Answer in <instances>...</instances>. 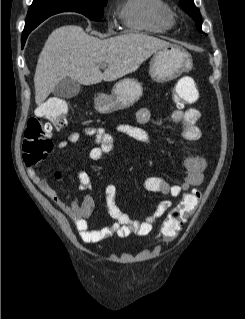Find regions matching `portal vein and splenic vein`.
Masks as SVG:
<instances>
[{
    "label": "portal vein and splenic vein",
    "mask_w": 245,
    "mask_h": 319,
    "mask_svg": "<svg viewBox=\"0 0 245 319\" xmlns=\"http://www.w3.org/2000/svg\"><path fill=\"white\" fill-rule=\"evenodd\" d=\"M101 67H102V68H105V67H106V65L102 64V65H101Z\"/></svg>",
    "instance_id": "1"
}]
</instances>
